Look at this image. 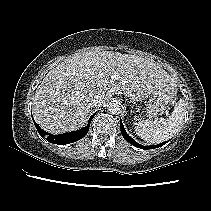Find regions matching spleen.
<instances>
[{"label": "spleen", "instance_id": "1", "mask_svg": "<svg viewBox=\"0 0 211 211\" xmlns=\"http://www.w3.org/2000/svg\"><path fill=\"white\" fill-rule=\"evenodd\" d=\"M185 101L180 99L169 119H154L141 122L135 131L141 139L149 143H161L176 135L183 125Z\"/></svg>", "mask_w": 211, "mask_h": 211}]
</instances>
